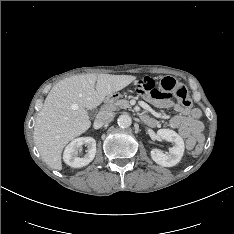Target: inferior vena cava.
<instances>
[{"label": "inferior vena cava", "mask_w": 234, "mask_h": 234, "mask_svg": "<svg viewBox=\"0 0 234 234\" xmlns=\"http://www.w3.org/2000/svg\"><path fill=\"white\" fill-rule=\"evenodd\" d=\"M114 119V113L110 111H101L97 114L95 123L98 126H103L110 123Z\"/></svg>", "instance_id": "602c4592"}]
</instances>
